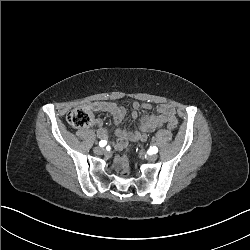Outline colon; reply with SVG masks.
Instances as JSON below:
<instances>
[{
  "label": "colon",
  "instance_id": "obj_1",
  "mask_svg": "<svg viewBox=\"0 0 250 250\" xmlns=\"http://www.w3.org/2000/svg\"><path fill=\"white\" fill-rule=\"evenodd\" d=\"M66 121L72 128L79 129L89 126L93 121V116L87 108L76 107L68 112ZM178 126V123L173 120L166 124V127L174 133L178 131ZM127 173L123 171V174Z\"/></svg>",
  "mask_w": 250,
  "mask_h": 250
}]
</instances>
